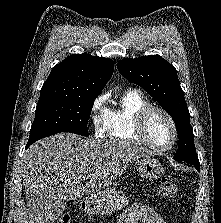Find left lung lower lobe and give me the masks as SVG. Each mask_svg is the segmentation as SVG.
Returning a JSON list of instances; mask_svg holds the SVG:
<instances>
[{
  "instance_id": "1",
  "label": "left lung lower lobe",
  "mask_w": 221,
  "mask_h": 223,
  "mask_svg": "<svg viewBox=\"0 0 221 223\" xmlns=\"http://www.w3.org/2000/svg\"><path fill=\"white\" fill-rule=\"evenodd\" d=\"M194 167H195L198 171H200V165H194Z\"/></svg>"
}]
</instances>
